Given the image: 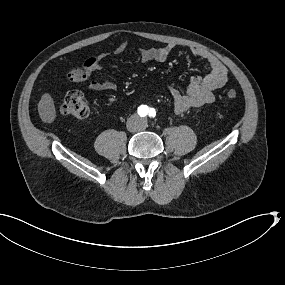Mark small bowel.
Here are the masks:
<instances>
[{
    "instance_id": "1",
    "label": "small bowel",
    "mask_w": 285,
    "mask_h": 285,
    "mask_svg": "<svg viewBox=\"0 0 285 285\" xmlns=\"http://www.w3.org/2000/svg\"><path fill=\"white\" fill-rule=\"evenodd\" d=\"M127 42L120 43L114 53L122 54L127 49ZM175 46L168 44L163 47H154L148 49H139V57L143 62L157 61L165 62L173 52ZM190 53L197 58L205 61L209 67V72L204 76L195 75L189 80L185 91L176 88H170V94L173 98L175 112L180 114L189 109L211 104L215 100L214 91L222 88L228 79V71L224 64L205 49L191 47ZM107 53L90 57L84 64L86 75H90L105 64ZM115 68V66H111ZM89 87L95 91H115L116 84L110 80H93Z\"/></svg>"
}]
</instances>
